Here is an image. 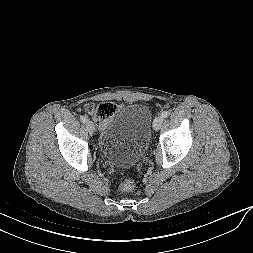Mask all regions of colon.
<instances>
[{"label": "colon", "instance_id": "5ec220e1", "mask_svg": "<svg viewBox=\"0 0 253 253\" xmlns=\"http://www.w3.org/2000/svg\"><path fill=\"white\" fill-rule=\"evenodd\" d=\"M86 111L94 117L99 125L103 126L115 113L116 105L111 102H103L98 105L86 106ZM134 188V181L131 179H125L119 183L117 190L120 194H126L133 191Z\"/></svg>", "mask_w": 253, "mask_h": 253}]
</instances>
